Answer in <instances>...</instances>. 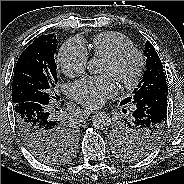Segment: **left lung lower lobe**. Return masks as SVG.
I'll list each match as a JSON object with an SVG mask.
<instances>
[{"mask_svg": "<svg viewBox=\"0 0 184 184\" xmlns=\"http://www.w3.org/2000/svg\"><path fill=\"white\" fill-rule=\"evenodd\" d=\"M132 114V124L135 127L149 126L151 141L138 142L134 146L136 152L149 151L153 144H157L161 139L164 124L167 117V93L155 92L143 97L134 105Z\"/></svg>", "mask_w": 184, "mask_h": 184, "instance_id": "0a47b994", "label": "left lung lower lobe"}]
</instances>
